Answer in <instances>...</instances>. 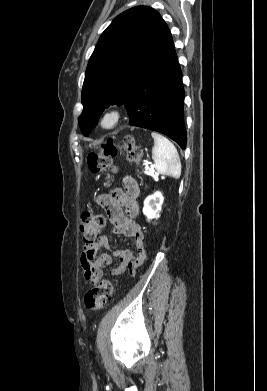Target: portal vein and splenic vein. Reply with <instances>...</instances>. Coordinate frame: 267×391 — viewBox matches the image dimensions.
<instances>
[{
  "label": "portal vein and splenic vein",
  "mask_w": 267,
  "mask_h": 391,
  "mask_svg": "<svg viewBox=\"0 0 267 391\" xmlns=\"http://www.w3.org/2000/svg\"><path fill=\"white\" fill-rule=\"evenodd\" d=\"M145 165H146L145 169H149L148 164L146 163Z\"/></svg>",
  "instance_id": "18ae733b"
}]
</instances>
